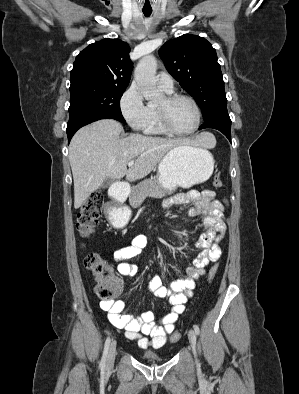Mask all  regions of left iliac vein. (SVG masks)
Segmentation results:
<instances>
[{
	"label": "left iliac vein",
	"instance_id": "4c4485c4",
	"mask_svg": "<svg viewBox=\"0 0 299 394\" xmlns=\"http://www.w3.org/2000/svg\"><path fill=\"white\" fill-rule=\"evenodd\" d=\"M188 338L191 344L192 351L196 355V333L193 329H190L188 331Z\"/></svg>",
	"mask_w": 299,
	"mask_h": 394
}]
</instances>
